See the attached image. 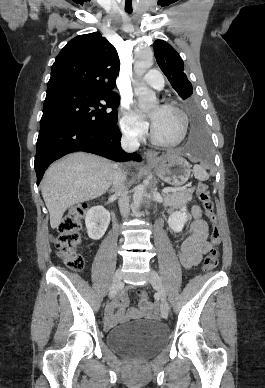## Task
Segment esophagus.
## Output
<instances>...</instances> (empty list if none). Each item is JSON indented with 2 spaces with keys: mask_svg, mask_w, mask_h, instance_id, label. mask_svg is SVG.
Instances as JSON below:
<instances>
[{
  "mask_svg": "<svg viewBox=\"0 0 265 388\" xmlns=\"http://www.w3.org/2000/svg\"><path fill=\"white\" fill-rule=\"evenodd\" d=\"M156 156H157V152H155V151L148 150V151L146 152L147 161L153 160Z\"/></svg>",
  "mask_w": 265,
  "mask_h": 388,
  "instance_id": "obj_1",
  "label": "esophagus"
}]
</instances>
